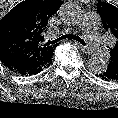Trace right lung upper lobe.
<instances>
[{
	"label": "right lung upper lobe",
	"instance_id": "cb5924a9",
	"mask_svg": "<svg viewBox=\"0 0 118 118\" xmlns=\"http://www.w3.org/2000/svg\"><path fill=\"white\" fill-rule=\"evenodd\" d=\"M61 0H25L0 20V60L9 69L38 70L52 61L54 45L45 42L49 18Z\"/></svg>",
	"mask_w": 118,
	"mask_h": 118
}]
</instances>
